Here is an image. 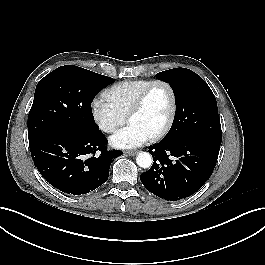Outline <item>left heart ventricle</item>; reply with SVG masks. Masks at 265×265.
<instances>
[{
	"label": "left heart ventricle",
	"mask_w": 265,
	"mask_h": 265,
	"mask_svg": "<svg viewBox=\"0 0 265 265\" xmlns=\"http://www.w3.org/2000/svg\"><path fill=\"white\" fill-rule=\"evenodd\" d=\"M170 111V96L163 86L154 87L148 94L142 109L131 117L135 124L153 136L164 125Z\"/></svg>",
	"instance_id": "b2bd125f"
}]
</instances>
